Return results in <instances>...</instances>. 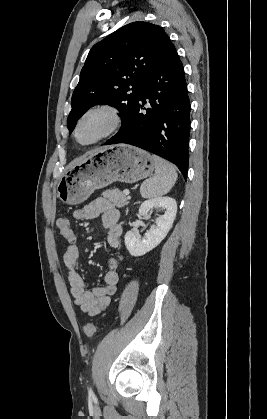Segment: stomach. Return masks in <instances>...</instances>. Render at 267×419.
<instances>
[{
    "label": "stomach",
    "instance_id": "obj_1",
    "mask_svg": "<svg viewBox=\"0 0 267 419\" xmlns=\"http://www.w3.org/2000/svg\"><path fill=\"white\" fill-rule=\"evenodd\" d=\"M154 168L152 156L142 149L125 144L104 147L68 168L57 183V196L66 204H80L96 189L115 181L138 182Z\"/></svg>",
    "mask_w": 267,
    "mask_h": 419
}]
</instances>
